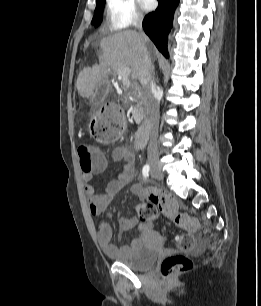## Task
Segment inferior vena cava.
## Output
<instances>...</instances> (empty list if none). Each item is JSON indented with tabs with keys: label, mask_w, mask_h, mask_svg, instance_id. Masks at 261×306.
<instances>
[{
	"label": "inferior vena cava",
	"mask_w": 261,
	"mask_h": 306,
	"mask_svg": "<svg viewBox=\"0 0 261 306\" xmlns=\"http://www.w3.org/2000/svg\"><path fill=\"white\" fill-rule=\"evenodd\" d=\"M133 25L136 29H138L139 33L143 35L142 18H135ZM139 57L141 61L139 80L144 87V96L149 112V117L152 121V130L155 131L158 127L159 99L157 96L156 84L154 81V67L152 65L151 58L146 46L143 45L140 48ZM148 152H155V148L151 143L148 146Z\"/></svg>",
	"instance_id": "602c4592"
}]
</instances>
